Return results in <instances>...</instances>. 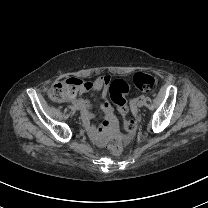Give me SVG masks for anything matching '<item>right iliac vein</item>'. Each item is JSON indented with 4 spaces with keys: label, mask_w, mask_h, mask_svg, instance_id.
<instances>
[{
    "label": "right iliac vein",
    "mask_w": 208,
    "mask_h": 208,
    "mask_svg": "<svg viewBox=\"0 0 208 208\" xmlns=\"http://www.w3.org/2000/svg\"><path fill=\"white\" fill-rule=\"evenodd\" d=\"M75 109H76V110H80V106H79V105H76V106H75Z\"/></svg>",
    "instance_id": "63e3f726"
}]
</instances>
